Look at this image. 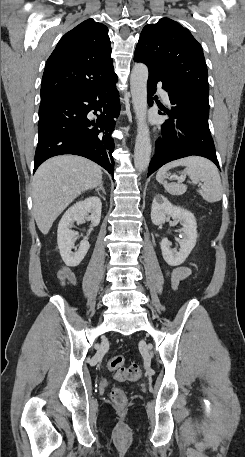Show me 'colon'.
<instances>
[{
  "label": "colon",
  "instance_id": "colon-1",
  "mask_svg": "<svg viewBox=\"0 0 245 457\" xmlns=\"http://www.w3.org/2000/svg\"><path fill=\"white\" fill-rule=\"evenodd\" d=\"M125 358L122 355L112 357L107 366L114 371V378L117 381H136L142 375V368L139 364L124 366ZM111 400L116 407L123 408L127 404V396L123 389L116 387L111 391Z\"/></svg>",
  "mask_w": 245,
  "mask_h": 457
}]
</instances>
